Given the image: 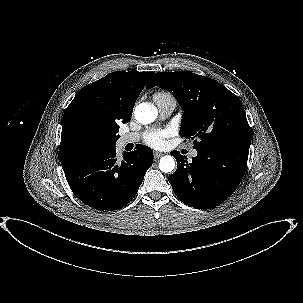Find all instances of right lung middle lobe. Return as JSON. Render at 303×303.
I'll return each mask as SVG.
<instances>
[{"label":"right lung middle lobe","mask_w":303,"mask_h":303,"mask_svg":"<svg viewBox=\"0 0 303 303\" xmlns=\"http://www.w3.org/2000/svg\"><path fill=\"white\" fill-rule=\"evenodd\" d=\"M116 134L108 135L93 127H84L81 130L80 137L88 147L98 153L115 146V142L119 138V135Z\"/></svg>","instance_id":"right-lung-middle-lobe-1"}]
</instances>
